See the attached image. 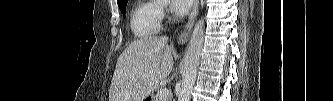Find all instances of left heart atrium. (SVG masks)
I'll return each instance as SVG.
<instances>
[{
	"mask_svg": "<svg viewBox=\"0 0 333 101\" xmlns=\"http://www.w3.org/2000/svg\"><path fill=\"white\" fill-rule=\"evenodd\" d=\"M192 2V0H172L170 8L174 13L182 15L189 11Z\"/></svg>",
	"mask_w": 333,
	"mask_h": 101,
	"instance_id": "39dd6f15",
	"label": "left heart atrium"
}]
</instances>
